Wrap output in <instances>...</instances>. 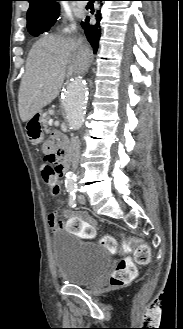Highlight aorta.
<instances>
[{
	"label": "aorta",
	"mask_w": 183,
	"mask_h": 329,
	"mask_svg": "<svg viewBox=\"0 0 183 329\" xmlns=\"http://www.w3.org/2000/svg\"><path fill=\"white\" fill-rule=\"evenodd\" d=\"M88 100V85L83 78L71 80L65 87L62 105L66 113L68 126L71 130H78L82 127L85 119ZM75 175L68 172L65 178V186H75Z\"/></svg>",
	"instance_id": "762f6f07"
}]
</instances>
